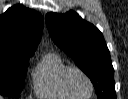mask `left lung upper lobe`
<instances>
[{"label": "left lung upper lobe", "instance_id": "5c2ea615", "mask_svg": "<svg viewBox=\"0 0 128 99\" xmlns=\"http://www.w3.org/2000/svg\"><path fill=\"white\" fill-rule=\"evenodd\" d=\"M52 40L90 78L98 99H116L114 69L102 33L74 11L48 13Z\"/></svg>", "mask_w": 128, "mask_h": 99}]
</instances>
